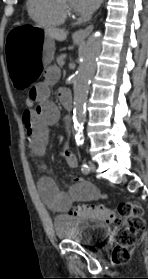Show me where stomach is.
I'll list each match as a JSON object with an SVG mask.
<instances>
[{
    "mask_svg": "<svg viewBox=\"0 0 148 279\" xmlns=\"http://www.w3.org/2000/svg\"><path fill=\"white\" fill-rule=\"evenodd\" d=\"M6 69L13 91H30L54 57V42L38 25H11L5 34Z\"/></svg>",
    "mask_w": 148,
    "mask_h": 279,
    "instance_id": "1",
    "label": "stomach"
}]
</instances>
